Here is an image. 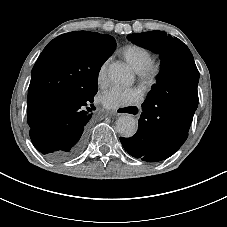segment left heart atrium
<instances>
[{
  "instance_id": "obj_1",
  "label": "left heart atrium",
  "mask_w": 227,
  "mask_h": 227,
  "mask_svg": "<svg viewBox=\"0 0 227 227\" xmlns=\"http://www.w3.org/2000/svg\"><path fill=\"white\" fill-rule=\"evenodd\" d=\"M144 96L145 92L140 87H112L102 94L101 102L108 109L127 108L140 104Z\"/></svg>"
}]
</instances>
